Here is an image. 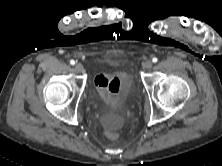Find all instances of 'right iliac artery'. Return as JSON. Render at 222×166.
<instances>
[{"label":"right iliac artery","mask_w":222,"mask_h":166,"mask_svg":"<svg viewBox=\"0 0 222 166\" xmlns=\"http://www.w3.org/2000/svg\"><path fill=\"white\" fill-rule=\"evenodd\" d=\"M70 64H71V65H74V64H75V61H74V60H71V61H70Z\"/></svg>","instance_id":"obj_1"}]
</instances>
